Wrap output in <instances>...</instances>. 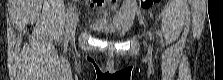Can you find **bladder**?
Returning <instances> with one entry per match:
<instances>
[{
    "label": "bladder",
    "mask_w": 223,
    "mask_h": 80,
    "mask_svg": "<svg viewBox=\"0 0 223 80\" xmlns=\"http://www.w3.org/2000/svg\"><path fill=\"white\" fill-rule=\"evenodd\" d=\"M91 28L94 31L101 33L103 35H106V36H122V35H124L123 31L117 29L114 26L107 25V24H93V25H91Z\"/></svg>",
    "instance_id": "bladder-1"
}]
</instances>
